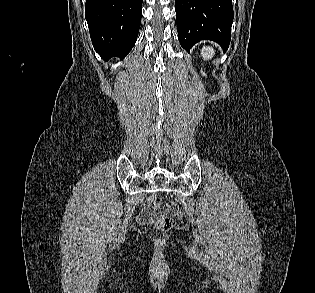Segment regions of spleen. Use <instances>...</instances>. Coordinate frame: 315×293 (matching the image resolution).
Here are the masks:
<instances>
[{
    "mask_svg": "<svg viewBox=\"0 0 315 293\" xmlns=\"http://www.w3.org/2000/svg\"><path fill=\"white\" fill-rule=\"evenodd\" d=\"M214 54H215V50L210 46L204 47L201 49V55L204 60H208L212 58Z\"/></svg>",
    "mask_w": 315,
    "mask_h": 293,
    "instance_id": "3e777b00",
    "label": "spleen"
}]
</instances>
